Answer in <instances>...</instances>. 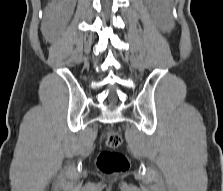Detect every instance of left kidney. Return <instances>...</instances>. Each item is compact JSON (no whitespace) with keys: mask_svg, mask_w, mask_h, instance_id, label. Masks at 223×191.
<instances>
[{"mask_svg":"<svg viewBox=\"0 0 223 191\" xmlns=\"http://www.w3.org/2000/svg\"><path fill=\"white\" fill-rule=\"evenodd\" d=\"M151 8L162 23L165 30H170L173 27V17L171 14V0H148Z\"/></svg>","mask_w":223,"mask_h":191,"instance_id":"1","label":"left kidney"}]
</instances>
